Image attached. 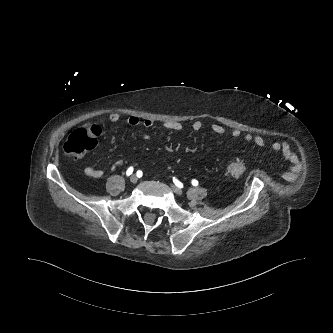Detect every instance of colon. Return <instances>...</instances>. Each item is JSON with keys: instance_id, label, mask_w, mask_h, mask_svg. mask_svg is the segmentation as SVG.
I'll list each match as a JSON object with an SVG mask.
<instances>
[{"instance_id": "1", "label": "colon", "mask_w": 333, "mask_h": 333, "mask_svg": "<svg viewBox=\"0 0 333 333\" xmlns=\"http://www.w3.org/2000/svg\"><path fill=\"white\" fill-rule=\"evenodd\" d=\"M101 133V128L96 124H87L73 131L63 145V150L66 154L79 157L97 145L98 136ZM246 170L242 160L233 159L228 162L226 172L229 176L238 178L244 174Z\"/></svg>"}]
</instances>
